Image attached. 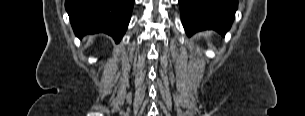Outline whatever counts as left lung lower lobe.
I'll use <instances>...</instances> for the list:
<instances>
[{
	"label": "left lung lower lobe",
	"instance_id": "1",
	"mask_svg": "<svg viewBox=\"0 0 305 116\" xmlns=\"http://www.w3.org/2000/svg\"><path fill=\"white\" fill-rule=\"evenodd\" d=\"M184 29L188 35L215 30L222 36L230 29L237 0H179Z\"/></svg>",
	"mask_w": 305,
	"mask_h": 116
}]
</instances>
